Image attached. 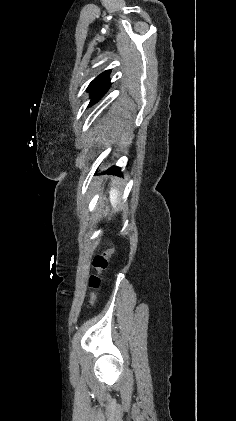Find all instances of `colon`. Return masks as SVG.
Here are the masks:
<instances>
[{
    "label": "colon",
    "instance_id": "colon-1",
    "mask_svg": "<svg viewBox=\"0 0 236 421\" xmlns=\"http://www.w3.org/2000/svg\"><path fill=\"white\" fill-rule=\"evenodd\" d=\"M116 247L107 249L106 251L96 255L93 258L92 265L95 269V273L89 277V287L92 290L90 295V305H93L96 299L95 291L100 287L101 279L100 274L106 269L109 258L115 253Z\"/></svg>",
    "mask_w": 236,
    "mask_h": 421
}]
</instances>
